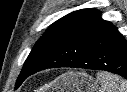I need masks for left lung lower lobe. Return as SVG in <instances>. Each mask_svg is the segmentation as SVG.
I'll use <instances>...</instances> for the list:
<instances>
[{
    "label": "left lung lower lobe",
    "instance_id": "left-lung-lower-lobe-1",
    "mask_svg": "<svg viewBox=\"0 0 127 92\" xmlns=\"http://www.w3.org/2000/svg\"><path fill=\"white\" fill-rule=\"evenodd\" d=\"M55 67L105 70L127 79V42L114 25L101 20L55 50L32 74Z\"/></svg>",
    "mask_w": 127,
    "mask_h": 92
}]
</instances>
